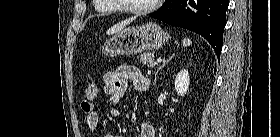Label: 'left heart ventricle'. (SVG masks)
Returning <instances> with one entry per match:
<instances>
[{
    "instance_id": "left-heart-ventricle-1",
    "label": "left heart ventricle",
    "mask_w": 280,
    "mask_h": 137,
    "mask_svg": "<svg viewBox=\"0 0 280 137\" xmlns=\"http://www.w3.org/2000/svg\"><path fill=\"white\" fill-rule=\"evenodd\" d=\"M154 0H125V6L131 8L147 7L153 3Z\"/></svg>"
}]
</instances>
